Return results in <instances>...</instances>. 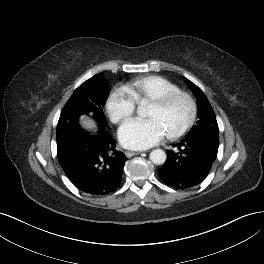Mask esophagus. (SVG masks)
Listing matches in <instances>:
<instances>
[{
    "instance_id": "1",
    "label": "esophagus",
    "mask_w": 264,
    "mask_h": 264,
    "mask_svg": "<svg viewBox=\"0 0 264 264\" xmlns=\"http://www.w3.org/2000/svg\"><path fill=\"white\" fill-rule=\"evenodd\" d=\"M141 152L140 151H126L125 154L128 158L134 156V155H138L140 154Z\"/></svg>"
}]
</instances>
